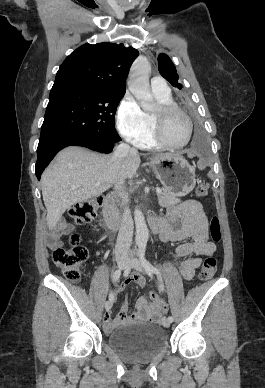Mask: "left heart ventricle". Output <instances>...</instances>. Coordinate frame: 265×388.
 I'll list each match as a JSON object with an SVG mask.
<instances>
[{"mask_svg": "<svg viewBox=\"0 0 265 388\" xmlns=\"http://www.w3.org/2000/svg\"><path fill=\"white\" fill-rule=\"evenodd\" d=\"M157 110L158 106L152 113L157 112ZM158 119L161 133L168 143L179 145L184 142L186 137L185 121L180 113L177 111L158 113Z\"/></svg>", "mask_w": 265, "mask_h": 388, "instance_id": "obj_1", "label": "left heart ventricle"}]
</instances>
